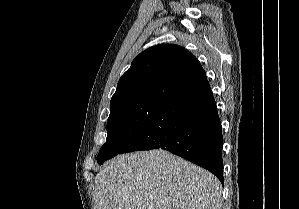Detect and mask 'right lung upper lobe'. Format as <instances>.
<instances>
[{
    "label": "right lung upper lobe",
    "instance_id": "1",
    "mask_svg": "<svg viewBox=\"0 0 299 209\" xmlns=\"http://www.w3.org/2000/svg\"><path fill=\"white\" fill-rule=\"evenodd\" d=\"M204 73L191 52L161 44L141 52L121 76L110 109L152 101L163 103L180 87Z\"/></svg>",
    "mask_w": 299,
    "mask_h": 209
}]
</instances>
